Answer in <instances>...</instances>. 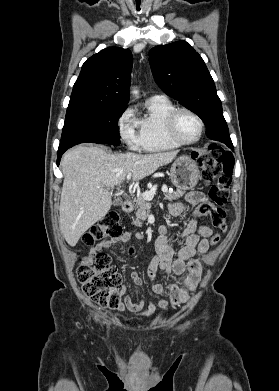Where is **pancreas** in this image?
I'll return each mask as SVG.
<instances>
[{
    "label": "pancreas",
    "mask_w": 279,
    "mask_h": 391,
    "mask_svg": "<svg viewBox=\"0 0 279 391\" xmlns=\"http://www.w3.org/2000/svg\"><path fill=\"white\" fill-rule=\"evenodd\" d=\"M183 195H184L183 191L177 190L174 192L166 193L165 198L169 201H173V200H178ZM136 205H137V208H136L137 211L135 213L136 219H135L134 223L140 224L141 221H144L147 219V217L150 213L151 203L149 201L143 199V197L141 196L136 200Z\"/></svg>",
    "instance_id": "cf45deb5"
}]
</instances>
